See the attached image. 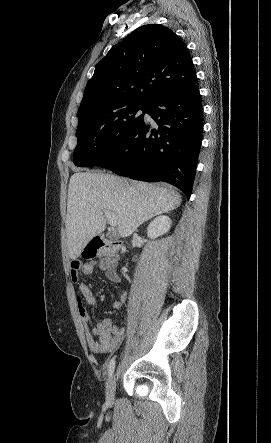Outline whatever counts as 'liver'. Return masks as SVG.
<instances>
[{"label": "liver", "mask_w": 271, "mask_h": 443, "mask_svg": "<svg viewBox=\"0 0 271 443\" xmlns=\"http://www.w3.org/2000/svg\"><path fill=\"white\" fill-rule=\"evenodd\" d=\"M180 204L178 192L146 182H129L112 174H73L68 186L65 222L69 257L77 259L88 241L104 231L107 222L104 210L116 216L119 235L128 237L141 223L171 212Z\"/></svg>", "instance_id": "obj_1"}]
</instances>
